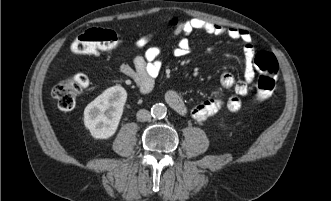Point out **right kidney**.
Listing matches in <instances>:
<instances>
[{
    "label": "right kidney",
    "instance_id": "obj_1",
    "mask_svg": "<svg viewBox=\"0 0 331 201\" xmlns=\"http://www.w3.org/2000/svg\"><path fill=\"white\" fill-rule=\"evenodd\" d=\"M127 92L121 86L106 89L84 110V124L96 139H108L118 128Z\"/></svg>",
    "mask_w": 331,
    "mask_h": 201
}]
</instances>
